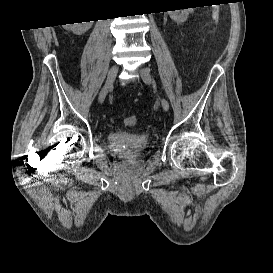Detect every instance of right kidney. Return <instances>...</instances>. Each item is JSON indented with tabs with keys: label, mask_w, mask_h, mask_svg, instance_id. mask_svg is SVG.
Segmentation results:
<instances>
[{
	"label": "right kidney",
	"mask_w": 273,
	"mask_h": 273,
	"mask_svg": "<svg viewBox=\"0 0 273 273\" xmlns=\"http://www.w3.org/2000/svg\"><path fill=\"white\" fill-rule=\"evenodd\" d=\"M93 21L90 22H82V23H75L78 26L72 27V31L76 34L85 33L90 27L92 26Z\"/></svg>",
	"instance_id": "right-kidney-1"
}]
</instances>
